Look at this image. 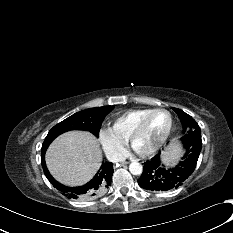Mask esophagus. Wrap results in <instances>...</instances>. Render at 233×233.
<instances>
[{"instance_id":"esophagus-1","label":"esophagus","mask_w":233,"mask_h":233,"mask_svg":"<svg viewBox=\"0 0 233 233\" xmlns=\"http://www.w3.org/2000/svg\"><path fill=\"white\" fill-rule=\"evenodd\" d=\"M128 163H129V162H128V161H125V160L120 162L121 165H125V164H128Z\"/></svg>"}]
</instances>
